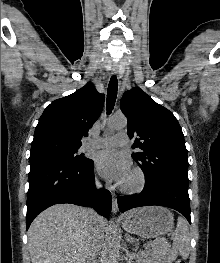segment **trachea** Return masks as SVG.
<instances>
[{"label": "trachea", "mask_w": 220, "mask_h": 263, "mask_svg": "<svg viewBox=\"0 0 220 263\" xmlns=\"http://www.w3.org/2000/svg\"><path fill=\"white\" fill-rule=\"evenodd\" d=\"M118 91V81L116 75H113L110 79L108 90H107V115H109L115 105L116 97Z\"/></svg>", "instance_id": "trachea-1"}]
</instances>
